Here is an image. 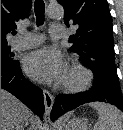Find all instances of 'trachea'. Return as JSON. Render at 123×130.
Here are the masks:
<instances>
[{
    "mask_svg": "<svg viewBox=\"0 0 123 130\" xmlns=\"http://www.w3.org/2000/svg\"><path fill=\"white\" fill-rule=\"evenodd\" d=\"M34 12L36 15L37 25H42L44 23V13L45 4L43 0H35L34 2Z\"/></svg>",
    "mask_w": 123,
    "mask_h": 130,
    "instance_id": "1",
    "label": "trachea"
}]
</instances>
